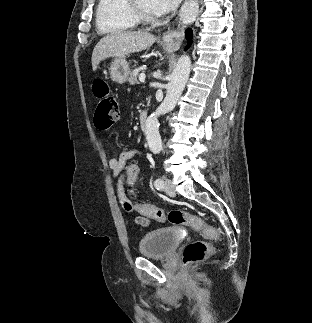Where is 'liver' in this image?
<instances>
[{
    "mask_svg": "<svg viewBox=\"0 0 312 323\" xmlns=\"http://www.w3.org/2000/svg\"><path fill=\"white\" fill-rule=\"evenodd\" d=\"M156 38L146 32H111L96 44L92 52V70H97L105 58H122L125 54L142 52L154 44Z\"/></svg>",
    "mask_w": 312,
    "mask_h": 323,
    "instance_id": "6515ba94",
    "label": "liver"
}]
</instances>
